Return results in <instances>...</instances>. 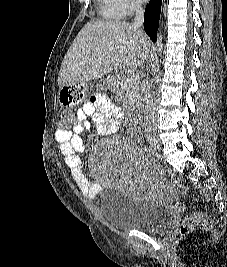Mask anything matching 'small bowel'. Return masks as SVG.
Instances as JSON below:
<instances>
[{
	"mask_svg": "<svg viewBox=\"0 0 227 267\" xmlns=\"http://www.w3.org/2000/svg\"><path fill=\"white\" fill-rule=\"evenodd\" d=\"M123 120L121 109L110 99L102 94L94 96L84 103L76 112V123L72 129L56 130V141L64 156L65 164L81 193L87 198H95L99 192L98 182L91 180L82 169V161L79 153L85 149L82 135L88 131L93 123L102 135L114 134ZM138 194L143 197L152 196L155 193L153 187L140 184L137 187Z\"/></svg>",
	"mask_w": 227,
	"mask_h": 267,
	"instance_id": "small-bowel-1",
	"label": "small bowel"
}]
</instances>
